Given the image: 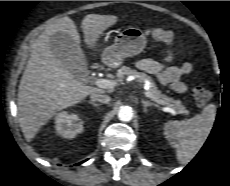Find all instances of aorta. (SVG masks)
<instances>
[{
  "mask_svg": "<svg viewBox=\"0 0 230 186\" xmlns=\"http://www.w3.org/2000/svg\"><path fill=\"white\" fill-rule=\"evenodd\" d=\"M118 118L123 122L131 121L133 118V110L129 106H123L118 111Z\"/></svg>",
  "mask_w": 230,
  "mask_h": 186,
  "instance_id": "762f6f07",
  "label": "aorta"
}]
</instances>
